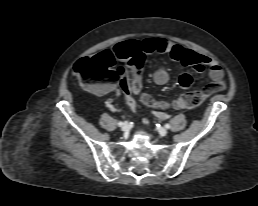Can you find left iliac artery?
I'll use <instances>...</instances> for the list:
<instances>
[{"label": "left iliac artery", "mask_w": 258, "mask_h": 206, "mask_svg": "<svg viewBox=\"0 0 258 206\" xmlns=\"http://www.w3.org/2000/svg\"><path fill=\"white\" fill-rule=\"evenodd\" d=\"M165 127H166L167 129H169V128H170V124H166Z\"/></svg>", "instance_id": "left-iliac-artery-1"}]
</instances>
